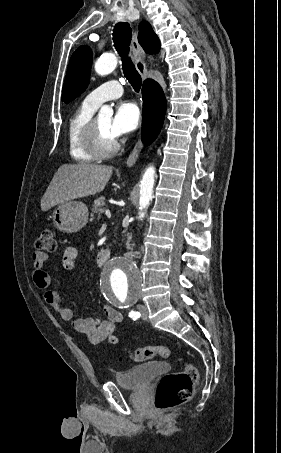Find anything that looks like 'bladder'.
<instances>
[{"instance_id":"bladder-1","label":"bladder","mask_w":281,"mask_h":453,"mask_svg":"<svg viewBox=\"0 0 281 453\" xmlns=\"http://www.w3.org/2000/svg\"><path fill=\"white\" fill-rule=\"evenodd\" d=\"M170 366L165 362H150L119 372L116 383L128 389H140L151 383L156 377L168 373Z\"/></svg>"}]
</instances>
